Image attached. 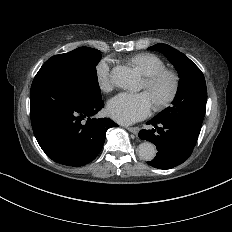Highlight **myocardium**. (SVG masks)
<instances>
[{"instance_id":"f54148a6","label":"myocardium","mask_w":232,"mask_h":232,"mask_svg":"<svg viewBox=\"0 0 232 232\" xmlns=\"http://www.w3.org/2000/svg\"><path fill=\"white\" fill-rule=\"evenodd\" d=\"M169 79L170 88L168 93L159 100L157 103V110H161L167 106H169L173 100L175 99L178 89H179V76L176 72L168 69H163L153 75L147 76L144 79V88L147 92L155 91L160 83L165 79Z\"/></svg>"}]
</instances>
